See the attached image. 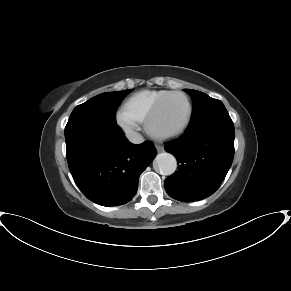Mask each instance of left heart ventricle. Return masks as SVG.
<instances>
[{"instance_id":"left-heart-ventricle-1","label":"left heart ventricle","mask_w":291,"mask_h":291,"mask_svg":"<svg viewBox=\"0 0 291 291\" xmlns=\"http://www.w3.org/2000/svg\"><path fill=\"white\" fill-rule=\"evenodd\" d=\"M187 117V104L184 97L173 95L163 103L155 124L160 130H172L180 127Z\"/></svg>"}]
</instances>
